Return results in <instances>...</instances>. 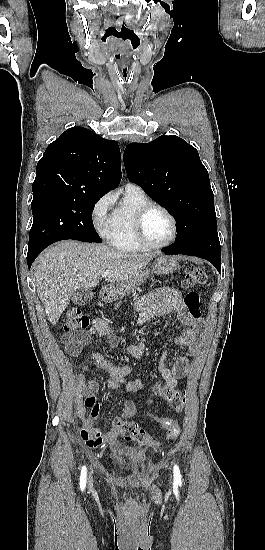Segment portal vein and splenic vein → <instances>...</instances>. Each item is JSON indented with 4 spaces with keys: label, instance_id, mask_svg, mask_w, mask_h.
<instances>
[{
    "label": "portal vein and splenic vein",
    "instance_id": "1",
    "mask_svg": "<svg viewBox=\"0 0 265 550\" xmlns=\"http://www.w3.org/2000/svg\"><path fill=\"white\" fill-rule=\"evenodd\" d=\"M102 277H103V278H106V277H107V273H103V274H102Z\"/></svg>",
    "mask_w": 265,
    "mask_h": 550
}]
</instances>
